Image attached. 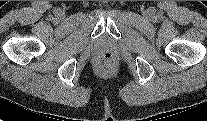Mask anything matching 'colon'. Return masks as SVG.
Returning a JSON list of instances; mask_svg holds the SVG:
<instances>
[{"instance_id": "obj_1", "label": "colon", "mask_w": 207, "mask_h": 121, "mask_svg": "<svg viewBox=\"0 0 207 121\" xmlns=\"http://www.w3.org/2000/svg\"><path fill=\"white\" fill-rule=\"evenodd\" d=\"M115 64L116 59L111 52H102L96 57V66L100 71H111Z\"/></svg>"}]
</instances>
